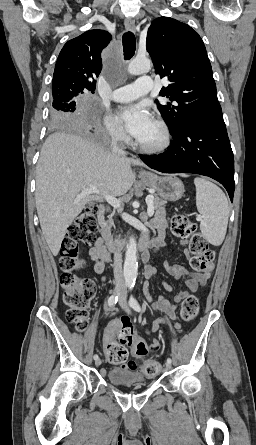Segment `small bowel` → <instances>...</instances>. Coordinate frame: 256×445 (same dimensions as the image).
<instances>
[{
	"label": "small bowel",
	"mask_w": 256,
	"mask_h": 445,
	"mask_svg": "<svg viewBox=\"0 0 256 445\" xmlns=\"http://www.w3.org/2000/svg\"><path fill=\"white\" fill-rule=\"evenodd\" d=\"M152 226L156 230L157 235L153 239V247L155 249H160L161 247H164L166 245V229H167V223L165 219L164 212H159L154 219L152 220ZM183 244H185V241H183ZM184 254L187 258H189V252L187 250L184 251ZM89 256L94 262V271L98 275H103L105 272V266L107 263L111 262V256L109 252L107 251L104 242L102 239L97 238L93 247L89 250ZM166 271L173 276L176 280L183 279L185 282V285L187 287V290H182L179 293L176 294L174 297V302H169L164 296H159V298L152 303V307L155 310L161 311L168 315L171 319L176 318V313L179 308L180 303L191 293H196L198 290H200L205 284L207 283V280L210 277V274L208 272H196L192 270H188L186 267L180 264H169L167 263L165 265ZM157 275V269L156 267L152 265H148L145 269V276L147 279V285L148 280H150L152 277ZM163 287L167 291L172 290V286L168 284L166 281H163ZM167 324V321L165 319H157L150 330L149 333H156L161 325ZM120 322L119 320H113L111 321L107 327L104 330L103 334V345L104 347L112 342H115L116 334L119 329ZM174 327L176 329L180 328V323L174 322ZM148 350H158L160 348L159 341L154 338L152 342L147 345ZM136 364L132 361L129 362H123L121 363V368H128L135 370Z\"/></svg>",
	"instance_id": "obj_1"
}]
</instances>
